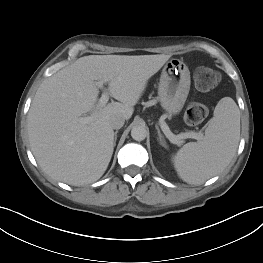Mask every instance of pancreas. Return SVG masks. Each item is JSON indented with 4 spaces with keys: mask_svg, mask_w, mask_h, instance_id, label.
Masks as SVG:
<instances>
[{
    "mask_svg": "<svg viewBox=\"0 0 263 263\" xmlns=\"http://www.w3.org/2000/svg\"><path fill=\"white\" fill-rule=\"evenodd\" d=\"M182 143H183V140H182V139L177 142L178 145H180V144H182Z\"/></svg>",
    "mask_w": 263,
    "mask_h": 263,
    "instance_id": "1",
    "label": "pancreas"
}]
</instances>
